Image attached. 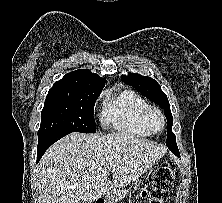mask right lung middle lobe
I'll use <instances>...</instances> for the list:
<instances>
[{
    "instance_id": "right-lung-middle-lobe-1",
    "label": "right lung middle lobe",
    "mask_w": 222,
    "mask_h": 203,
    "mask_svg": "<svg viewBox=\"0 0 222 203\" xmlns=\"http://www.w3.org/2000/svg\"><path fill=\"white\" fill-rule=\"evenodd\" d=\"M101 91L50 89L41 113L38 138L71 132L95 133L94 105Z\"/></svg>"
}]
</instances>
